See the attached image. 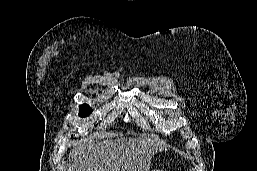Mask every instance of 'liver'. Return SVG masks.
Segmentation results:
<instances>
[{
	"instance_id": "6515ba94",
	"label": "liver",
	"mask_w": 257,
	"mask_h": 171,
	"mask_svg": "<svg viewBox=\"0 0 257 171\" xmlns=\"http://www.w3.org/2000/svg\"><path fill=\"white\" fill-rule=\"evenodd\" d=\"M105 134L94 144L91 139L77 142L71 150L67 171H149L152 156L161 145L150 138H117Z\"/></svg>"
}]
</instances>
